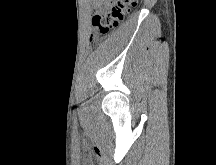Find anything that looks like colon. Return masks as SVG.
I'll list each match as a JSON object with an SVG mask.
<instances>
[{"instance_id": "5ec220e1", "label": "colon", "mask_w": 216, "mask_h": 165, "mask_svg": "<svg viewBox=\"0 0 216 165\" xmlns=\"http://www.w3.org/2000/svg\"><path fill=\"white\" fill-rule=\"evenodd\" d=\"M137 5L138 0H108L107 8L92 17V26L99 36H105L117 28Z\"/></svg>"}]
</instances>
